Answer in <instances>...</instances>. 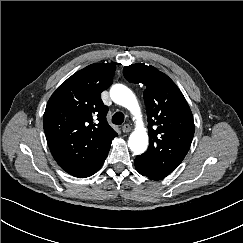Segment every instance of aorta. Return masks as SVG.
Listing matches in <instances>:
<instances>
[{
	"instance_id": "762f6f07",
	"label": "aorta",
	"mask_w": 243,
	"mask_h": 243,
	"mask_svg": "<svg viewBox=\"0 0 243 243\" xmlns=\"http://www.w3.org/2000/svg\"><path fill=\"white\" fill-rule=\"evenodd\" d=\"M110 97L116 104L129 109L138 119V126L131 133L128 146L136 155L143 153L148 146V134L141 122V111L136 96L125 85L115 84L110 89Z\"/></svg>"
}]
</instances>
